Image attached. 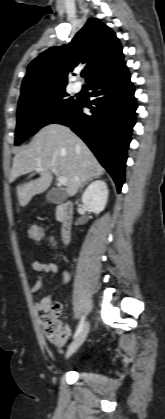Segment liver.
I'll use <instances>...</instances> for the list:
<instances>
[{
    "instance_id": "6515ba94",
    "label": "liver",
    "mask_w": 165,
    "mask_h": 419,
    "mask_svg": "<svg viewBox=\"0 0 165 419\" xmlns=\"http://www.w3.org/2000/svg\"><path fill=\"white\" fill-rule=\"evenodd\" d=\"M37 167L42 168L40 177L16 188L22 207L34 195L49 188L53 180V168L59 176L67 179L68 196H74L85 181L104 174V168L83 140L68 127L59 124L42 128L30 144L15 155L10 173L11 182L36 171Z\"/></svg>"
}]
</instances>
